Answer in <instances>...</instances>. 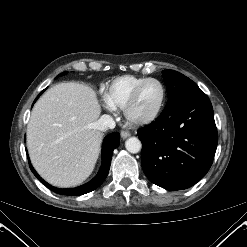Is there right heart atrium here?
<instances>
[{
  "label": "right heart atrium",
  "instance_id": "right-heart-atrium-1",
  "mask_svg": "<svg viewBox=\"0 0 247 247\" xmlns=\"http://www.w3.org/2000/svg\"><path fill=\"white\" fill-rule=\"evenodd\" d=\"M107 108L110 109V110H112V108L108 104H107Z\"/></svg>",
  "mask_w": 247,
  "mask_h": 247
}]
</instances>
